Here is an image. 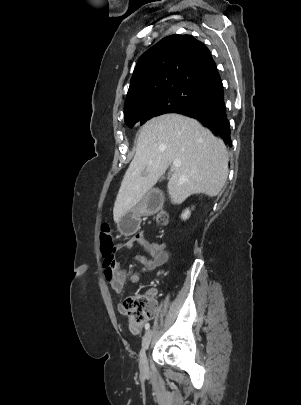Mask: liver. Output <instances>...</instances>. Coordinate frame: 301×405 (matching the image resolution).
Segmentation results:
<instances>
[{"mask_svg": "<svg viewBox=\"0 0 301 405\" xmlns=\"http://www.w3.org/2000/svg\"><path fill=\"white\" fill-rule=\"evenodd\" d=\"M174 160L181 162L168 181L174 204L182 203L192 194L214 197L225 185L228 155L221 139L189 117L178 114L155 117L140 130L135 156L114 203L116 223L140 202ZM144 170L146 175L142 176Z\"/></svg>", "mask_w": 301, "mask_h": 405, "instance_id": "1", "label": "liver"}]
</instances>
